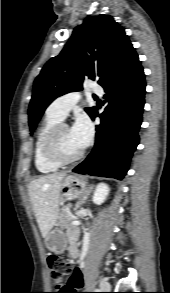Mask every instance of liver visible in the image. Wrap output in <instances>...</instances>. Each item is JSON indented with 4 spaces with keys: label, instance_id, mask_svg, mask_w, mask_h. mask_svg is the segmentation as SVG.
<instances>
[{
    "label": "liver",
    "instance_id": "liver-1",
    "mask_svg": "<svg viewBox=\"0 0 170 293\" xmlns=\"http://www.w3.org/2000/svg\"><path fill=\"white\" fill-rule=\"evenodd\" d=\"M66 172L41 176L28 185V193L42 237L55 225L59 212L60 189Z\"/></svg>",
    "mask_w": 170,
    "mask_h": 293
}]
</instances>
